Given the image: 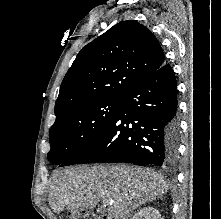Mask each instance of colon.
Here are the masks:
<instances>
[{
    "mask_svg": "<svg viewBox=\"0 0 221 219\" xmlns=\"http://www.w3.org/2000/svg\"><path fill=\"white\" fill-rule=\"evenodd\" d=\"M68 219H99L96 215L87 211H73Z\"/></svg>",
    "mask_w": 221,
    "mask_h": 219,
    "instance_id": "obj_1",
    "label": "colon"
}]
</instances>
